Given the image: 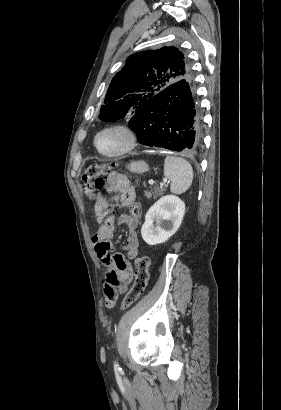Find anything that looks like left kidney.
Returning <instances> with one entry per match:
<instances>
[{
  "label": "left kidney",
  "mask_w": 281,
  "mask_h": 410,
  "mask_svg": "<svg viewBox=\"0 0 281 410\" xmlns=\"http://www.w3.org/2000/svg\"><path fill=\"white\" fill-rule=\"evenodd\" d=\"M184 213L185 204L179 197L174 195L161 197L146 213L141 228L143 240L148 245L166 242L180 227Z\"/></svg>",
  "instance_id": "left-kidney-1"
}]
</instances>
